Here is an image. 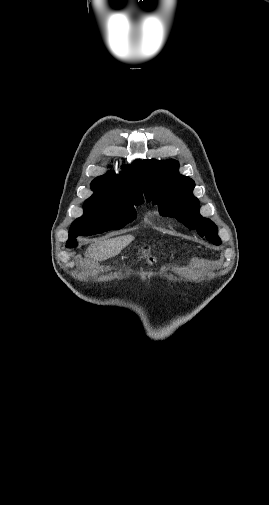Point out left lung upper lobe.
<instances>
[{
    "label": "left lung upper lobe",
    "mask_w": 269,
    "mask_h": 505,
    "mask_svg": "<svg viewBox=\"0 0 269 505\" xmlns=\"http://www.w3.org/2000/svg\"><path fill=\"white\" fill-rule=\"evenodd\" d=\"M175 160H144L143 186L148 202L157 204L162 216L175 217L189 229L197 230L215 245H220L217 226L199 214V201L192 191L194 181L179 174Z\"/></svg>",
    "instance_id": "obj_1"
}]
</instances>
